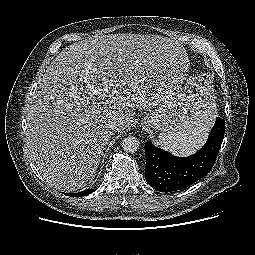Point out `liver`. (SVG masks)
Listing matches in <instances>:
<instances>
[{
    "mask_svg": "<svg viewBox=\"0 0 255 255\" xmlns=\"http://www.w3.org/2000/svg\"><path fill=\"white\" fill-rule=\"evenodd\" d=\"M189 58L160 35L109 34L64 48L48 66L27 115V147L52 187L73 192L95 177L119 121L130 127L135 110H149L183 83Z\"/></svg>",
    "mask_w": 255,
    "mask_h": 255,
    "instance_id": "6515ba94",
    "label": "liver"
}]
</instances>
